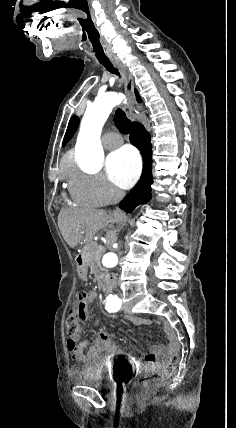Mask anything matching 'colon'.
Returning a JSON list of instances; mask_svg holds the SVG:
<instances>
[{
  "instance_id": "obj_1",
  "label": "colon",
  "mask_w": 236,
  "mask_h": 428,
  "mask_svg": "<svg viewBox=\"0 0 236 428\" xmlns=\"http://www.w3.org/2000/svg\"><path fill=\"white\" fill-rule=\"evenodd\" d=\"M90 292L81 290L76 296L74 307L70 310L68 327V345L71 349L77 348L76 337L79 331L80 324L86 320L87 307L89 304ZM179 355L173 352L168 363L160 370L147 374L141 379L142 388L145 391H150L159 386L163 381L171 376L178 362Z\"/></svg>"
}]
</instances>
